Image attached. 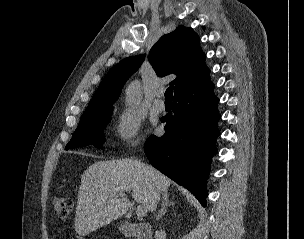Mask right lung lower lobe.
Here are the masks:
<instances>
[{"label": "right lung lower lobe", "mask_w": 304, "mask_h": 239, "mask_svg": "<svg viewBox=\"0 0 304 239\" xmlns=\"http://www.w3.org/2000/svg\"><path fill=\"white\" fill-rule=\"evenodd\" d=\"M209 73L175 92L173 111L161 119L166 133L150 136L144 145L152 166L191 191L203 206L220 119Z\"/></svg>", "instance_id": "98d812e1"}]
</instances>
